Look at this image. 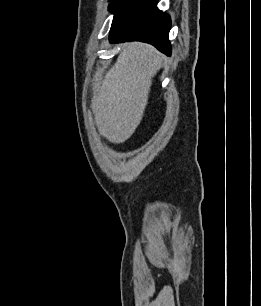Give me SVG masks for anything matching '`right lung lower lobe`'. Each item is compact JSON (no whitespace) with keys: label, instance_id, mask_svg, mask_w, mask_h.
Returning a JSON list of instances; mask_svg holds the SVG:
<instances>
[{"label":"right lung lower lobe","instance_id":"98d812e1","mask_svg":"<svg viewBox=\"0 0 261 306\" xmlns=\"http://www.w3.org/2000/svg\"><path fill=\"white\" fill-rule=\"evenodd\" d=\"M158 0H112L114 18L109 34L111 43L142 41L170 56L168 39L170 16L157 8Z\"/></svg>","mask_w":261,"mask_h":306}]
</instances>
